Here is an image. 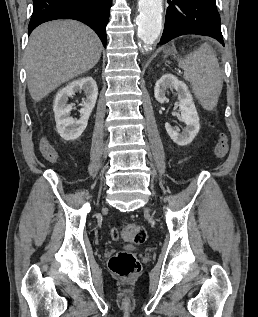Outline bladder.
Returning a JSON list of instances; mask_svg holds the SVG:
<instances>
[{
  "mask_svg": "<svg viewBox=\"0 0 258 317\" xmlns=\"http://www.w3.org/2000/svg\"><path fill=\"white\" fill-rule=\"evenodd\" d=\"M133 249V247H129L127 252H130Z\"/></svg>",
  "mask_w": 258,
  "mask_h": 317,
  "instance_id": "bladder-1",
  "label": "bladder"
}]
</instances>
